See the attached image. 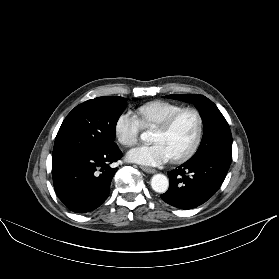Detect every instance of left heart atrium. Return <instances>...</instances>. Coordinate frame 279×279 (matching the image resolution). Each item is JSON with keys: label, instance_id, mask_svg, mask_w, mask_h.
Wrapping results in <instances>:
<instances>
[{"label": "left heart atrium", "instance_id": "39dd6f15", "mask_svg": "<svg viewBox=\"0 0 279 279\" xmlns=\"http://www.w3.org/2000/svg\"><path fill=\"white\" fill-rule=\"evenodd\" d=\"M127 157L130 161L143 165H157L171 159L167 149L161 143L136 147L128 152Z\"/></svg>", "mask_w": 279, "mask_h": 279}]
</instances>
